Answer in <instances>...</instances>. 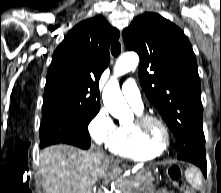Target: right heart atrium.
<instances>
[{
	"mask_svg": "<svg viewBox=\"0 0 221 193\" xmlns=\"http://www.w3.org/2000/svg\"><path fill=\"white\" fill-rule=\"evenodd\" d=\"M88 131L97 145L108 147L117 134L118 125L110 113L101 108L90 121Z\"/></svg>",
	"mask_w": 221,
	"mask_h": 193,
	"instance_id": "right-heart-atrium-1",
	"label": "right heart atrium"
}]
</instances>
